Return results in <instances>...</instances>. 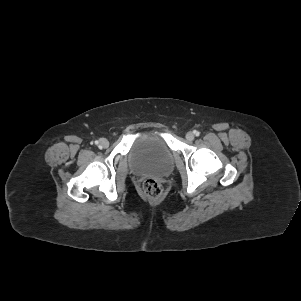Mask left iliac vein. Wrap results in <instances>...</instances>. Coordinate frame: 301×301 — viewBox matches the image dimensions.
Masks as SVG:
<instances>
[{
  "mask_svg": "<svg viewBox=\"0 0 301 301\" xmlns=\"http://www.w3.org/2000/svg\"><path fill=\"white\" fill-rule=\"evenodd\" d=\"M194 133L193 132H188L187 134H186V139L188 140V141H193L194 140Z\"/></svg>",
  "mask_w": 301,
  "mask_h": 301,
  "instance_id": "obj_1",
  "label": "left iliac vein"
}]
</instances>
